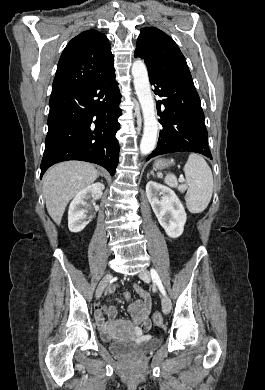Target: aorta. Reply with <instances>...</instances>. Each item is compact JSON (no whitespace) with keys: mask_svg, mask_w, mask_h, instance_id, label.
I'll list each match as a JSON object with an SVG mask.
<instances>
[{"mask_svg":"<svg viewBox=\"0 0 265 390\" xmlns=\"http://www.w3.org/2000/svg\"><path fill=\"white\" fill-rule=\"evenodd\" d=\"M131 72L134 78L133 82L136 95L140 102L144 118V130L140 143V152L141 154L146 155L153 151L157 140L158 122L155 114V105L145 63L142 60L134 61Z\"/></svg>","mask_w":265,"mask_h":390,"instance_id":"1","label":"aorta"}]
</instances>
